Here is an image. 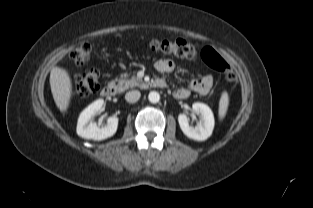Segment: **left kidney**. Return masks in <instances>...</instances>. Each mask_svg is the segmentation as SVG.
Here are the masks:
<instances>
[{
  "instance_id": "obj_1",
  "label": "left kidney",
  "mask_w": 313,
  "mask_h": 208,
  "mask_svg": "<svg viewBox=\"0 0 313 208\" xmlns=\"http://www.w3.org/2000/svg\"><path fill=\"white\" fill-rule=\"evenodd\" d=\"M196 114L200 115L199 123L193 127L189 125L188 118L185 114H179L178 122L182 132L191 139L204 141L211 136L214 128V116L212 110L204 103L196 102L192 105Z\"/></svg>"
}]
</instances>
